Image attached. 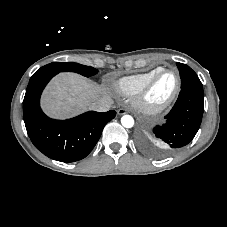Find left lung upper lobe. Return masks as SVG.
Returning <instances> with one entry per match:
<instances>
[{"label":"left lung upper lobe","mask_w":227,"mask_h":227,"mask_svg":"<svg viewBox=\"0 0 227 227\" xmlns=\"http://www.w3.org/2000/svg\"><path fill=\"white\" fill-rule=\"evenodd\" d=\"M177 67L181 77V89L192 87L203 91L202 83L197 74L187 65L177 62Z\"/></svg>","instance_id":"left-lung-upper-lobe-1"}]
</instances>
